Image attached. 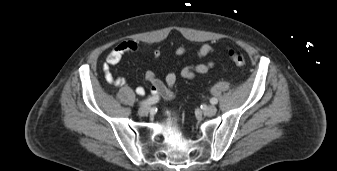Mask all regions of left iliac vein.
Masks as SVG:
<instances>
[{"instance_id": "4c4485c4", "label": "left iliac vein", "mask_w": 337, "mask_h": 171, "mask_svg": "<svg viewBox=\"0 0 337 171\" xmlns=\"http://www.w3.org/2000/svg\"><path fill=\"white\" fill-rule=\"evenodd\" d=\"M203 112L206 116L211 117V116H214L216 114L217 109H216L215 106L210 105V106H207L206 108H204Z\"/></svg>"}]
</instances>
